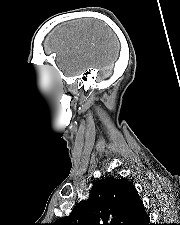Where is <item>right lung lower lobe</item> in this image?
<instances>
[{
	"label": "right lung lower lobe",
	"instance_id": "1",
	"mask_svg": "<svg viewBox=\"0 0 180 225\" xmlns=\"http://www.w3.org/2000/svg\"><path fill=\"white\" fill-rule=\"evenodd\" d=\"M144 225H151V224L149 223V220H148L147 222L144 223Z\"/></svg>",
	"mask_w": 180,
	"mask_h": 225
}]
</instances>
